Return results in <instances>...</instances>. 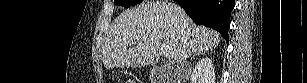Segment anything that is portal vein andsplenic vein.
<instances>
[{"mask_svg": "<svg viewBox=\"0 0 307 83\" xmlns=\"http://www.w3.org/2000/svg\"><path fill=\"white\" fill-rule=\"evenodd\" d=\"M162 55L165 58H171L173 56V52L171 50L162 49Z\"/></svg>", "mask_w": 307, "mask_h": 83, "instance_id": "18ae733b", "label": "portal vein and splenic vein"}]
</instances>
